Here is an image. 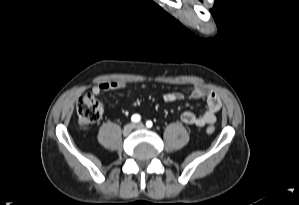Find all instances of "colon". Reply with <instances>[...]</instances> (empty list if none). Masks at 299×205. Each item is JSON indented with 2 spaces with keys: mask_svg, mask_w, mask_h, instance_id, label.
<instances>
[{
  "mask_svg": "<svg viewBox=\"0 0 299 205\" xmlns=\"http://www.w3.org/2000/svg\"><path fill=\"white\" fill-rule=\"evenodd\" d=\"M76 110L78 125L84 129L100 120L103 113V104L92 94L87 93L78 100ZM206 132L213 134L215 127L209 125L206 128Z\"/></svg>",
  "mask_w": 299,
  "mask_h": 205,
  "instance_id": "1",
  "label": "colon"
}]
</instances>
